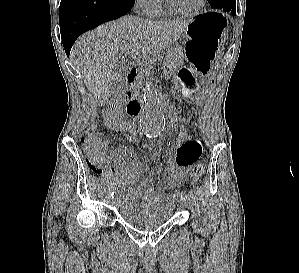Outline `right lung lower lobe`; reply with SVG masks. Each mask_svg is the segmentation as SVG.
I'll list each match as a JSON object with an SVG mask.
<instances>
[{"instance_id":"1","label":"right lung lower lobe","mask_w":299,"mask_h":273,"mask_svg":"<svg viewBox=\"0 0 299 273\" xmlns=\"http://www.w3.org/2000/svg\"><path fill=\"white\" fill-rule=\"evenodd\" d=\"M135 0H61L59 23L67 56L82 33L125 15Z\"/></svg>"}]
</instances>
